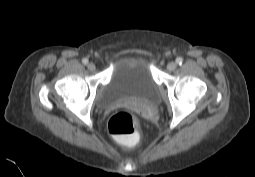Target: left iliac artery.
<instances>
[{"label": "left iliac artery", "mask_w": 255, "mask_h": 177, "mask_svg": "<svg viewBox=\"0 0 255 177\" xmlns=\"http://www.w3.org/2000/svg\"><path fill=\"white\" fill-rule=\"evenodd\" d=\"M176 63L179 64V65H181V64L183 63V58L178 57V58L176 59Z\"/></svg>", "instance_id": "obj_1"}]
</instances>
